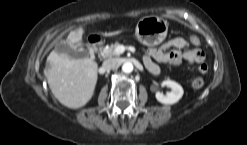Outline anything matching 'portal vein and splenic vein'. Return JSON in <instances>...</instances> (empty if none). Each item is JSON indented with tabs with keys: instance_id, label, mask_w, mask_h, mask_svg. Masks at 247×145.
Here are the masks:
<instances>
[{
	"instance_id": "18ae733b",
	"label": "portal vein and splenic vein",
	"mask_w": 247,
	"mask_h": 145,
	"mask_svg": "<svg viewBox=\"0 0 247 145\" xmlns=\"http://www.w3.org/2000/svg\"><path fill=\"white\" fill-rule=\"evenodd\" d=\"M126 49H127V48H126L125 46L119 45V46L115 49V52H116L117 54H122V53H124V51H125Z\"/></svg>"
}]
</instances>
